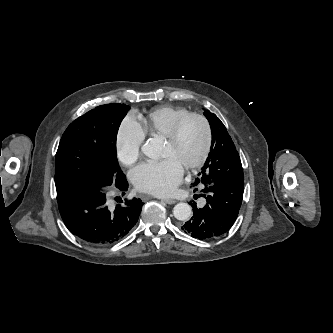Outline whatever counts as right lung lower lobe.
Here are the masks:
<instances>
[{
	"label": "right lung lower lobe",
	"mask_w": 333,
	"mask_h": 333,
	"mask_svg": "<svg viewBox=\"0 0 333 333\" xmlns=\"http://www.w3.org/2000/svg\"><path fill=\"white\" fill-rule=\"evenodd\" d=\"M121 192L128 189L123 173L114 184ZM125 194V193H124ZM61 217L68 230L81 240L93 245H109L124 238L135 226L143 202L126 199L115 209L109 208L106 187L83 184L57 193Z\"/></svg>",
	"instance_id": "right-lung-lower-lobe-1"
}]
</instances>
